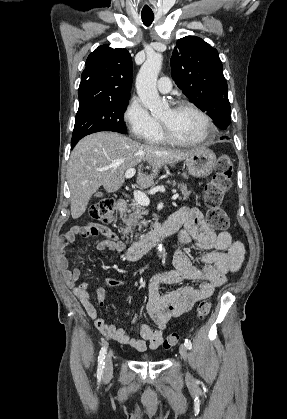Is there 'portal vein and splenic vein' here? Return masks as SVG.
<instances>
[{
	"label": "portal vein and splenic vein",
	"instance_id": "18ae733b",
	"mask_svg": "<svg viewBox=\"0 0 287 419\" xmlns=\"http://www.w3.org/2000/svg\"><path fill=\"white\" fill-rule=\"evenodd\" d=\"M135 173H136V170L134 168H130L125 172V178L127 179L132 178L135 175ZM133 195H134V199L142 206H148L150 204V200L148 196L145 193L141 192L140 190H135L133 192ZM178 197H179V194L175 193L172 196V200H176Z\"/></svg>",
	"mask_w": 287,
	"mask_h": 419
}]
</instances>
